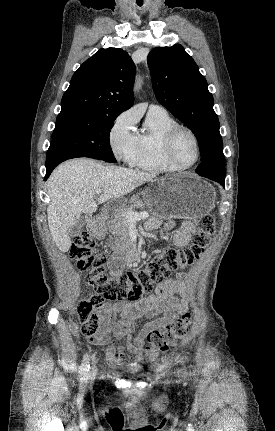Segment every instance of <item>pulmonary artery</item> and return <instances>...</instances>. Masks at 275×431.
<instances>
[{
    "instance_id": "e3ab8cb5",
    "label": "pulmonary artery",
    "mask_w": 275,
    "mask_h": 431,
    "mask_svg": "<svg viewBox=\"0 0 275 431\" xmlns=\"http://www.w3.org/2000/svg\"><path fill=\"white\" fill-rule=\"evenodd\" d=\"M149 109H164V108L158 104H151Z\"/></svg>"
}]
</instances>
